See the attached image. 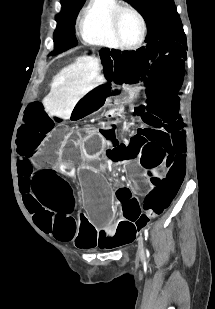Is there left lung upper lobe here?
Masks as SVG:
<instances>
[{"label": "left lung upper lobe", "instance_id": "1", "mask_svg": "<svg viewBox=\"0 0 215 309\" xmlns=\"http://www.w3.org/2000/svg\"><path fill=\"white\" fill-rule=\"evenodd\" d=\"M147 24L146 42L170 40L186 44L180 17L173 0H128Z\"/></svg>", "mask_w": 215, "mask_h": 309}]
</instances>
